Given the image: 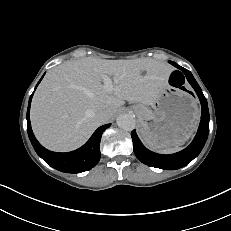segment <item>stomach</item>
<instances>
[{
	"instance_id": "0dacf381",
	"label": "stomach",
	"mask_w": 231,
	"mask_h": 231,
	"mask_svg": "<svg viewBox=\"0 0 231 231\" xmlns=\"http://www.w3.org/2000/svg\"><path fill=\"white\" fill-rule=\"evenodd\" d=\"M134 111L141 125V136L153 149H163L184 143L196 129L199 120L197 100L182 84L170 82L155 102L138 103Z\"/></svg>"
}]
</instances>
